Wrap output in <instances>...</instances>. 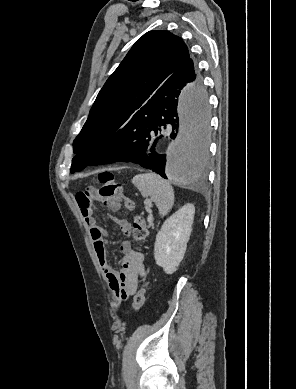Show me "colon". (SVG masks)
<instances>
[{
    "label": "colon",
    "instance_id": "obj_1",
    "mask_svg": "<svg viewBox=\"0 0 296 389\" xmlns=\"http://www.w3.org/2000/svg\"><path fill=\"white\" fill-rule=\"evenodd\" d=\"M99 188L97 190L98 197L108 206L115 207L119 205L120 201L126 209L131 212L135 211L134 201L125 196L123 193L122 185L115 179L111 172L104 171L98 176ZM148 236V227L145 219L139 215L134 214L133 217V238L137 243H142ZM148 283L145 282L133 300V308L136 312H139L146 302V288Z\"/></svg>",
    "mask_w": 296,
    "mask_h": 389
}]
</instances>
